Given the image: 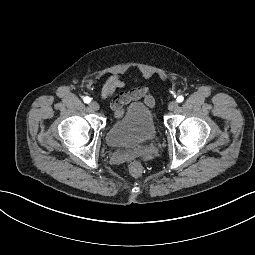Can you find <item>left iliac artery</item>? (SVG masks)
<instances>
[{"label":"left iliac artery","instance_id":"obj_1","mask_svg":"<svg viewBox=\"0 0 255 255\" xmlns=\"http://www.w3.org/2000/svg\"><path fill=\"white\" fill-rule=\"evenodd\" d=\"M183 100H184L183 96H178V97H177V102L180 103V102H182Z\"/></svg>","mask_w":255,"mask_h":255}]
</instances>
